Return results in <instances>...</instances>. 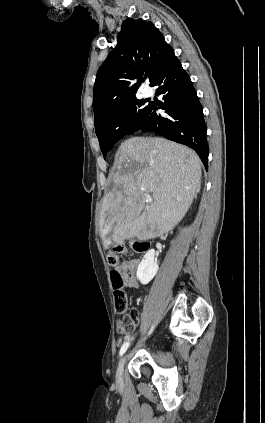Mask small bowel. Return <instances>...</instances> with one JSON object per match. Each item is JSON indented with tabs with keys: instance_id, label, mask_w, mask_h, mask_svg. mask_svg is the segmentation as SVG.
Segmentation results:
<instances>
[{
	"instance_id": "obj_1",
	"label": "small bowel",
	"mask_w": 265,
	"mask_h": 423,
	"mask_svg": "<svg viewBox=\"0 0 265 423\" xmlns=\"http://www.w3.org/2000/svg\"><path fill=\"white\" fill-rule=\"evenodd\" d=\"M139 265L138 259H131L128 261L122 262L116 269L119 272L123 284L126 288L130 290H136L139 287L138 279H137V268ZM135 329V324L133 327V330ZM127 332L125 335V339H130L132 337L131 333L133 332Z\"/></svg>"
}]
</instances>
